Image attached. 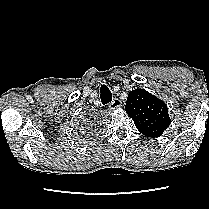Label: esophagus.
<instances>
[{"mask_svg": "<svg viewBox=\"0 0 209 209\" xmlns=\"http://www.w3.org/2000/svg\"><path fill=\"white\" fill-rule=\"evenodd\" d=\"M122 106L121 100L114 98L113 101L109 104V109L113 110Z\"/></svg>", "mask_w": 209, "mask_h": 209, "instance_id": "1", "label": "esophagus"}]
</instances>
